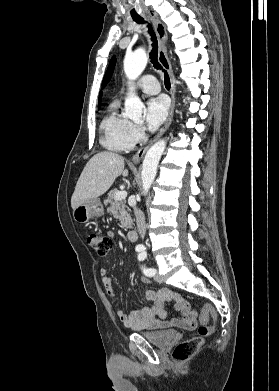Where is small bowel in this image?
Returning a JSON list of instances; mask_svg holds the SVG:
<instances>
[{"instance_id":"1","label":"small bowel","mask_w":279,"mask_h":391,"mask_svg":"<svg viewBox=\"0 0 279 391\" xmlns=\"http://www.w3.org/2000/svg\"><path fill=\"white\" fill-rule=\"evenodd\" d=\"M108 236L112 237L114 233L109 231ZM99 272L105 290L117 309V316L126 327L133 330L166 329L171 327L193 329L196 327V312L192 310L190 304L182 296L167 288L147 290L146 298L153 301V305L129 314L125 313L118 305L112 279L107 275L106 269L101 268ZM142 281L149 283L147 278H143ZM171 301L175 302V309L179 315L166 320L167 314L164 304Z\"/></svg>"}]
</instances>
